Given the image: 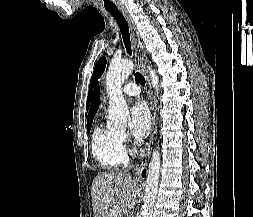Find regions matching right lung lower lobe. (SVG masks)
Here are the masks:
<instances>
[{
	"label": "right lung lower lobe",
	"instance_id": "right-lung-lower-lobe-1",
	"mask_svg": "<svg viewBox=\"0 0 253 217\" xmlns=\"http://www.w3.org/2000/svg\"><path fill=\"white\" fill-rule=\"evenodd\" d=\"M146 175V172L145 170L142 172V176L144 177Z\"/></svg>",
	"mask_w": 253,
	"mask_h": 217
}]
</instances>
